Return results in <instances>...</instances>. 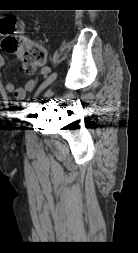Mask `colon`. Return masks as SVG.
I'll use <instances>...</instances> for the list:
<instances>
[{
  "label": "colon",
  "instance_id": "5ec220e1",
  "mask_svg": "<svg viewBox=\"0 0 138 253\" xmlns=\"http://www.w3.org/2000/svg\"><path fill=\"white\" fill-rule=\"evenodd\" d=\"M1 30L3 32V50L17 54L25 71L32 72L45 63V49L30 41L23 34L22 23L18 18L5 17L1 22Z\"/></svg>",
  "mask_w": 138,
  "mask_h": 253
}]
</instances>
